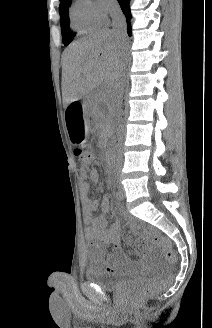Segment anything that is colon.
Instances as JSON below:
<instances>
[{
	"label": "colon",
	"instance_id": "colon-1",
	"mask_svg": "<svg viewBox=\"0 0 212 328\" xmlns=\"http://www.w3.org/2000/svg\"><path fill=\"white\" fill-rule=\"evenodd\" d=\"M84 141V140H83ZM75 153L79 157L80 161L83 163L79 164L80 173H91L92 164L90 163L93 159V153L90 150H87L82 146H76L75 147ZM145 233L147 235H152V231L147 229L145 230ZM153 240L155 243H157L164 251L167 259L170 262L176 261V254L171 249L170 243L168 240L158 236L154 235ZM157 285L154 283H148L144 285L142 288L136 291L135 298L140 299L150 293H152L155 289H157Z\"/></svg>",
	"mask_w": 212,
	"mask_h": 328
}]
</instances>
